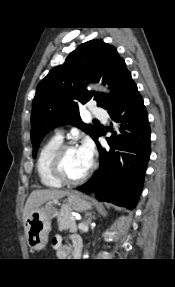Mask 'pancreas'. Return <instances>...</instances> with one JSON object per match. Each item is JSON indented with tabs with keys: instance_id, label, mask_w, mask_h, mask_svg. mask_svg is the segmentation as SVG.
<instances>
[{
	"instance_id": "obj_1",
	"label": "pancreas",
	"mask_w": 175,
	"mask_h": 287,
	"mask_svg": "<svg viewBox=\"0 0 175 287\" xmlns=\"http://www.w3.org/2000/svg\"><path fill=\"white\" fill-rule=\"evenodd\" d=\"M57 222L60 231L69 230L71 233L77 232L74 216H72L68 209H62L57 213Z\"/></svg>"
}]
</instances>
